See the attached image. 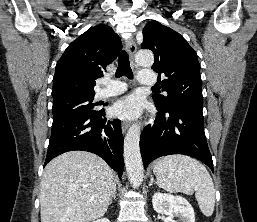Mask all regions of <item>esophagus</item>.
I'll return each instance as SVG.
<instances>
[{
    "mask_svg": "<svg viewBox=\"0 0 257 222\" xmlns=\"http://www.w3.org/2000/svg\"><path fill=\"white\" fill-rule=\"evenodd\" d=\"M126 49H127L128 53L130 55L132 65L135 66L133 58H134V55H135V53L137 51V46H136V44H135L133 39H127L126 40ZM128 128H129V123L124 122L122 124V126H121L122 133H126Z\"/></svg>",
    "mask_w": 257,
    "mask_h": 222,
    "instance_id": "obj_1",
    "label": "esophagus"
}]
</instances>
